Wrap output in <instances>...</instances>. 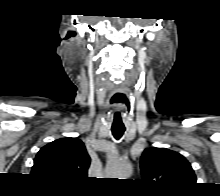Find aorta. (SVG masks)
Masks as SVG:
<instances>
[{"label": "aorta", "mask_w": 220, "mask_h": 196, "mask_svg": "<svg viewBox=\"0 0 220 196\" xmlns=\"http://www.w3.org/2000/svg\"><path fill=\"white\" fill-rule=\"evenodd\" d=\"M132 173V166L124 160L110 161L107 164L106 174L111 178L127 179Z\"/></svg>", "instance_id": "762f6f07"}]
</instances>
